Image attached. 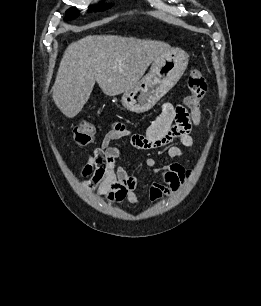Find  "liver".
<instances>
[{"instance_id": "obj_1", "label": "liver", "mask_w": 261, "mask_h": 306, "mask_svg": "<svg viewBox=\"0 0 261 306\" xmlns=\"http://www.w3.org/2000/svg\"><path fill=\"white\" fill-rule=\"evenodd\" d=\"M171 50L161 41L115 35L86 36L64 52L53 86L56 106L68 118L88 101L95 82L104 94L132 89L155 59Z\"/></svg>"}]
</instances>
